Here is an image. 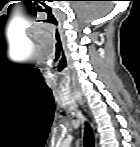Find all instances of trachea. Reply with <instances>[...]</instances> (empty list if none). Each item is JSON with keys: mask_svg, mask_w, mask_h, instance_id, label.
<instances>
[{"mask_svg": "<svg viewBox=\"0 0 140 147\" xmlns=\"http://www.w3.org/2000/svg\"><path fill=\"white\" fill-rule=\"evenodd\" d=\"M84 147H95L93 132L88 123L85 124Z\"/></svg>", "mask_w": 140, "mask_h": 147, "instance_id": "3493384b", "label": "trachea"}]
</instances>
